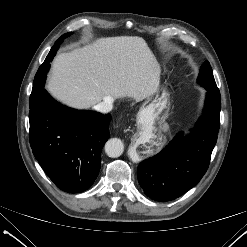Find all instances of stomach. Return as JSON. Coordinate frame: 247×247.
I'll return each instance as SVG.
<instances>
[{
	"label": "stomach",
	"mask_w": 247,
	"mask_h": 247,
	"mask_svg": "<svg viewBox=\"0 0 247 247\" xmlns=\"http://www.w3.org/2000/svg\"><path fill=\"white\" fill-rule=\"evenodd\" d=\"M169 111L170 93L162 87L143 103L138 112L137 123L143 129L162 124L168 117Z\"/></svg>",
	"instance_id": "0dacf381"
}]
</instances>
